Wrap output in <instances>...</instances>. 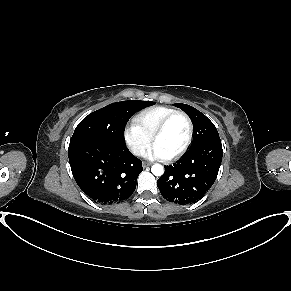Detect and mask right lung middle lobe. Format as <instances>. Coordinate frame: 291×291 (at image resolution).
I'll list each match as a JSON object with an SVG mask.
<instances>
[{"instance_id":"dd1d6c3e","label":"right lung middle lobe","mask_w":291,"mask_h":291,"mask_svg":"<svg viewBox=\"0 0 291 291\" xmlns=\"http://www.w3.org/2000/svg\"><path fill=\"white\" fill-rule=\"evenodd\" d=\"M153 102L129 100L110 104L86 116L76 127L70 144L96 141L126 145L124 129L130 117Z\"/></svg>"}]
</instances>
